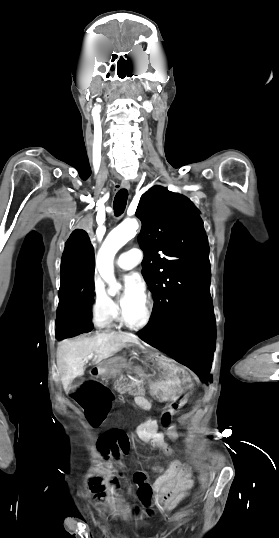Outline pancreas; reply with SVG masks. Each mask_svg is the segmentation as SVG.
I'll use <instances>...</instances> for the list:
<instances>
[{
  "mask_svg": "<svg viewBox=\"0 0 279 538\" xmlns=\"http://www.w3.org/2000/svg\"><path fill=\"white\" fill-rule=\"evenodd\" d=\"M119 360H121V358H115L112 362H119ZM127 380L128 378H126V376L117 378L114 382V390H117V392H129L133 397L143 396V388L141 387L142 381L137 379L134 384L133 382L125 384Z\"/></svg>",
  "mask_w": 279,
  "mask_h": 538,
  "instance_id": "obj_1",
  "label": "pancreas"
}]
</instances>
